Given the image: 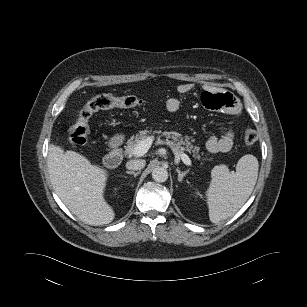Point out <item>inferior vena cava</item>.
Returning <instances> with one entry per match:
<instances>
[{"label":"inferior vena cava","instance_id":"inferior-vena-cava-1","mask_svg":"<svg viewBox=\"0 0 307 307\" xmlns=\"http://www.w3.org/2000/svg\"><path fill=\"white\" fill-rule=\"evenodd\" d=\"M146 161L142 159L130 160L126 163V168L129 170H141L145 167Z\"/></svg>","mask_w":307,"mask_h":307}]
</instances>
